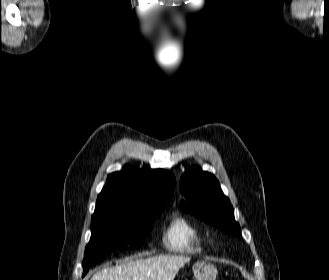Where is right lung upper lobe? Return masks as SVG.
I'll list each match as a JSON object with an SVG mask.
<instances>
[{"label":"right lung upper lobe","instance_id":"cb5924a9","mask_svg":"<svg viewBox=\"0 0 329 280\" xmlns=\"http://www.w3.org/2000/svg\"><path fill=\"white\" fill-rule=\"evenodd\" d=\"M176 184L172 173L163 169L143 170L125 165L107 178L97 204L116 201L147 207L155 201L170 200Z\"/></svg>","mask_w":329,"mask_h":280}]
</instances>
